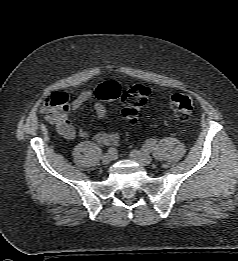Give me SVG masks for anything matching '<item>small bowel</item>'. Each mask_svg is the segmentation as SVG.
Returning <instances> with one entry per match:
<instances>
[{"label":"small bowel","instance_id":"1","mask_svg":"<svg viewBox=\"0 0 238 261\" xmlns=\"http://www.w3.org/2000/svg\"><path fill=\"white\" fill-rule=\"evenodd\" d=\"M93 93L90 90L83 91L79 93L72 101L69 106L70 110H77L84 103L92 100ZM94 110L97 117L100 120H104L106 117V108L100 103L96 102L94 104ZM57 127L58 132L66 139L73 140L77 137L79 138H89L91 136L90 131L85 127L75 128L70 120L68 119V115L65 114L61 117L56 123H54ZM94 140L103 145L116 146L120 141V136L113 130L104 131L96 134L94 136Z\"/></svg>","mask_w":238,"mask_h":261}]
</instances>
